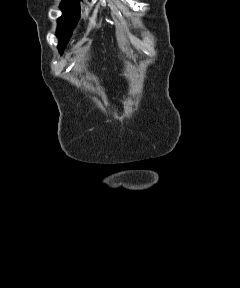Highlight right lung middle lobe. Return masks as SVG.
<instances>
[{
	"instance_id": "obj_1",
	"label": "right lung middle lobe",
	"mask_w": 240,
	"mask_h": 288,
	"mask_svg": "<svg viewBox=\"0 0 240 288\" xmlns=\"http://www.w3.org/2000/svg\"><path fill=\"white\" fill-rule=\"evenodd\" d=\"M60 9L63 12V15L58 19L56 35L60 38L58 49L60 53H62L79 20L80 0H63L60 4Z\"/></svg>"
}]
</instances>
